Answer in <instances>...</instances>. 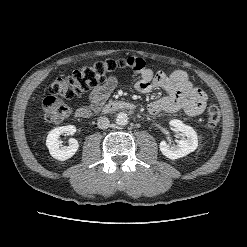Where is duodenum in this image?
I'll use <instances>...</instances> for the list:
<instances>
[{"label": "duodenum", "mask_w": 247, "mask_h": 247, "mask_svg": "<svg viewBox=\"0 0 247 247\" xmlns=\"http://www.w3.org/2000/svg\"><path fill=\"white\" fill-rule=\"evenodd\" d=\"M135 104L129 101H113L107 103L103 108V113H112L116 111H124V110H134Z\"/></svg>", "instance_id": "obj_1"}]
</instances>
